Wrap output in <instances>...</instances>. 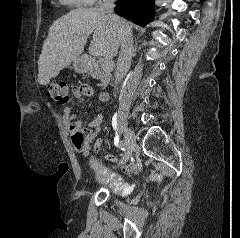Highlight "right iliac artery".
<instances>
[{
	"mask_svg": "<svg viewBox=\"0 0 240 238\" xmlns=\"http://www.w3.org/2000/svg\"><path fill=\"white\" fill-rule=\"evenodd\" d=\"M124 143H125V142L122 140V141L120 142V144H118V146L122 147V145H123Z\"/></svg>",
	"mask_w": 240,
	"mask_h": 238,
	"instance_id": "1",
	"label": "right iliac artery"
}]
</instances>
